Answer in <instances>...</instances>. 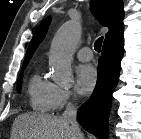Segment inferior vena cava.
Instances as JSON below:
<instances>
[{
  "label": "inferior vena cava",
  "instance_id": "1",
  "mask_svg": "<svg viewBox=\"0 0 141 139\" xmlns=\"http://www.w3.org/2000/svg\"><path fill=\"white\" fill-rule=\"evenodd\" d=\"M62 118L71 124V130L74 132L75 136H77V139L83 138L79 124L77 122V108L75 105L69 102L65 111L62 113Z\"/></svg>",
  "mask_w": 141,
  "mask_h": 139
}]
</instances>
